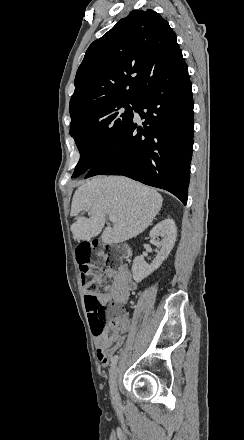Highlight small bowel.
I'll return each mask as SVG.
<instances>
[{"instance_id":"c3829d8e","label":"small bowel","mask_w":244,"mask_h":440,"mask_svg":"<svg viewBox=\"0 0 244 440\" xmlns=\"http://www.w3.org/2000/svg\"><path fill=\"white\" fill-rule=\"evenodd\" d=\"M104 276L111 283L102 292L85 293V299L94 297L100 302L102 300H115L116 304L121 307L127 304L132 291L137 286L129 267L123 264L118 268H107L104 271ZM87 309L89 310V308ZM113 330L114 327L108 325L106 331L102 335L96 336L94 340L96 357L103 366H107L112 362V354L120 350L125 340V338H117Z\"/></svg>"}]
</instances>
